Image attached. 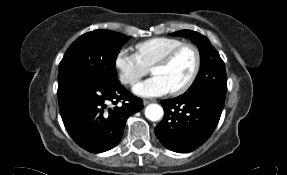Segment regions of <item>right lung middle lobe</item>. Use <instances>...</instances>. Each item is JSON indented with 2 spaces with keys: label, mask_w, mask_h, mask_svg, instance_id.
Instances as JSON below:
<instances>
[{
  "label": "right lung middle lobe",
  "mask_w": 287,
  "mask_h": 175,
  "mask_svg": "<svg viewBox=\"0 0 287 175\" xmlns=\"http://www.w3.org/2000/svg\"><path fill=\"white\" fill-rule=\"evenodd\" d=\"M130 37L95 30L76 39L59 64L58 85L73 80H89L103 85L119 84L115 60Z\"/></svg>",
  "instance_id": "obj_1"
}]
</instances>
